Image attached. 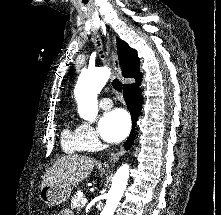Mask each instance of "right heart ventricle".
Masks as SVG:
<instances>
[{"instance_id":"right-heart-ventricle-1","label":"right heart ventricle","mask_w":221,"mask_h":215,"mask_svg":"<svg viewBox=\"0 0 221 215\" xmlns=\"http://www.w3.org/2000/svg\"><path fill=\"white\" fill-rule=\"evenodd\" d=\"M61 144L62 148L69 153L80 152L84 150L78 136L77 128L72 129L70 127H66L62 132Z\"/></svg>"}]
</instances>
